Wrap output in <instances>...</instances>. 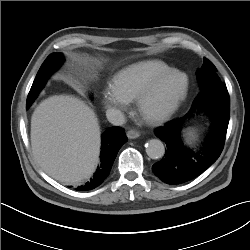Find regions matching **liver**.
<instances>
[{"instance_id":"1","label":"liver","mask_w":250,"mask_h":250,"mask_svg":"<svg viewBox=\"0 0 250 250\" xmlns=\"http://www.w3.org/2000/svg\"><path fill=\"white\" fill-rule=\"evenodd\" d=\"M31 146L45 173L63 184H78L88 179L98 164V119L73 95L51 96L32 114Z\"/></svg>"}]
</instances>
